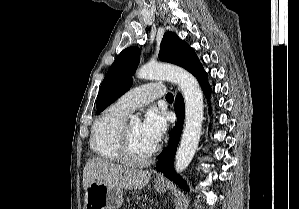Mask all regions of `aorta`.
<instances>
[{"mask_svg":"<svg viewBox=\"0 0 299 209\" xmlns=\"http://www.w3.org/2000/svg\"><path fill=\"white\" fill-rule=\"evenodd\" d=\"M140 79L168 80L176 83L184 97L185 127L180 145L175 156V171L182 173L192 161L201 136L204 118L203 94L197 79L183 68L159 63H148L136 72ZM132 122H139L137 116H132Z\"/></svg>","mask_w":299,"mask_h":209,"instance_id":"obj_1","label":"aorta"}]
</instances>
